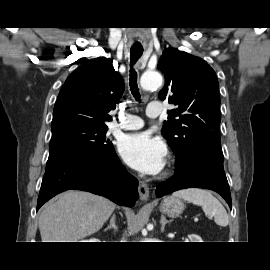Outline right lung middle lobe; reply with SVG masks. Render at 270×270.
<instances>
[{
  "instance_id": "1",
  "label": "right lung middle lobe",
  "mask_w": 270,
  "mask_h": 270,
  "mask_svg": "<svg viewBox=\"0 0 270 270\" xmlns=\"http://www.w3.org/2000/svg\"><path fill=\"white\" fill-rule=\"evenodd\" d=\"M107 126L67 122L52 127L50 151L60 147L94 148L102 152L114 150L106 137Z\"/></svg>"
}]
</instances>
